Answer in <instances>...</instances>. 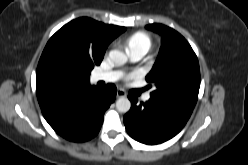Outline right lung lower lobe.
<instances>
[{
	"label": "right lung lower lobe",
	"instance_id": "right-lung-lower-lobe-1",
	"mask_svg": "<svg viewBox=\"0 0 248 165\" xmlns=\"http://www.w3.org/2000/svg\"><path fill=\"white\" fill-rule=\"evenodd\" d=\"M117 89L92 87L70 99L41 107L49 125L62 137L83 142L95 137L103 123L104 113L114 102Z\"/></svg>",
	"mask_w": 248,
	"mask_h": 165
}]
</instances>
